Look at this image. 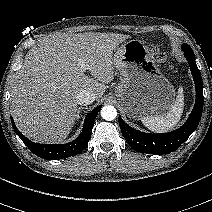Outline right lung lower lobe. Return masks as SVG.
<instances>
[{
    "mask_svg": "<svg viewBox=\"0 0 212 212\" xmlns=\"http://www.w3.org/2000/svg\"><path fill=\"white\" fill-rule=\"evenodd\" d=\"M101 107V105L96 107L87 115L80 135L74 141L66 144H38L32 142L21 134L12 118L11 122L16 134L35 155L45 159H62L79 154L87 146L91 137L95 118Z\"/></svg>",
    "mask_w": 212,
    "mask_h": 212,
    "instance_id": "1",
    "label": "right lung lower lobe"
}]
</instances>
